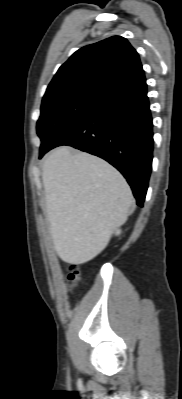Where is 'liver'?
I'll use <instances>...</instances> for the list:
<instances>
[{"mask_svg": "<svg viewBox=\"0 0 182 399\" xmlns=\"http://www.w3.org/2000/svg\"><path fill=\"white\" fill-rule=\"evenodd\" d=\"M42 180L54 249L66 263L95 258L132 213L123 176L88 153L55 149L44 159Z\"/></svg>", "mask_w": 182, "mask_h": 399, "instance_id": "obj_1", "label": "liver"}]
</instances>
